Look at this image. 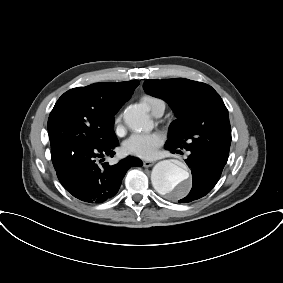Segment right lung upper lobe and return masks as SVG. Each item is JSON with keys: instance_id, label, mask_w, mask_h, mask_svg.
<instances>
[{"instance_id": "right-lung-upper-lobe-1", "label": "right lung upper lobe", "mask_w": 283, "mask_h": 283, "mask_svg": "<svg viewBox=\"0 0 283 283\" xmlns=\"http://www.w3.org/2000/svg\"><path fill=\"white\" fill-rule=\"evenodd\" d=\"M137 80L119 83H95L86 87L74 88L85 103L103 117H114L121 106L131 98Z\"/></svg>"}]
</instances>
